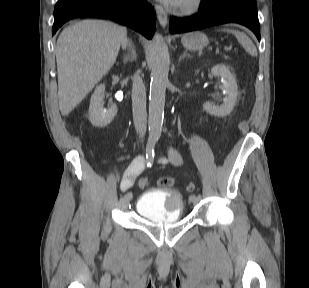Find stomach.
Listing matches in <instances>:
<instances>
[{
	"label": "stomach",
	"instance_id": "0dacf381",
	"mask_svg": "<svg viewBox=\"0 0 309 288\" xmlns=\"http://www.w3.org/2000/svg\"><path fill=\"white\" fill-rule=\"evenodd\" d=\"M181 42L186 49L200 50L208 45V38L206 35L200 32H191L185 34Z\"/></svg>",
	"mask_w": 309,
	"mask_h": 288
}]
</instances>
